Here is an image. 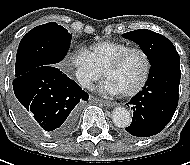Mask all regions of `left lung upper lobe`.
<instances>
[{"mask_svg": "<svg viewBox=\"0 0 190 165\" xmlns=\"http://www.w3.org/2000/svg\"><path fill=\"white\" fill-rule=\"evenodd\" d=\"M122 36L137 43L147 55L150 64L164 57L178 54L171 41L163 35L147 29L127 32Z\"/></svg>", "mask_w": 190, "mask_h": 165, "instance_id": "5c2ea615", "label": "left lung upper lobe"}]
</instances>
